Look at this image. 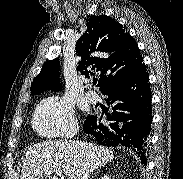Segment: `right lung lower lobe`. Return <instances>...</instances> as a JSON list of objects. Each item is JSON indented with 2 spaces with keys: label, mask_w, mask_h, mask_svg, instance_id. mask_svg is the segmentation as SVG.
<instances>
[{
  "label": "right lung lower lobe",
  "mask_w": 183,
  "mask_h": 179,
  "mask_svg": "<svg viewBox=\"0 0 183 179\" xmlns=\"http://www.w3.org/2000/svg\"><path fill=\"white\" fill-rule=\"evenodd\" d=\"M107 95L113 113L108 122H97L91 115L85 121V133L104 146H124L133 149L142 164H147L146 151L152 123L151 89L146 66L143 63L134 73L108 85L102 91ZM102 118V116H101ZM100 118V121H101Z\"/></svg>",
  "instance_id": "98d812e1"
}]
</instances>
